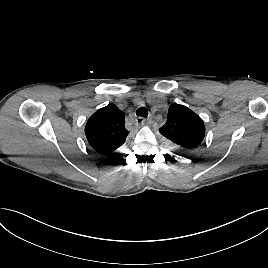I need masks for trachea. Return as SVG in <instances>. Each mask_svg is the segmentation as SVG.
<instances>
[{"label":"trachea","mask_w":268,"mask_h":268,"mask_svg":"<svg viewBox=\"0 0 268 268\" xmlns=\"http://www.w3.org/2000/svg\"><path fill=\"white\" fill-rule=\"evenodd\" d=\"M136 115L140 117H147L148 116V110L145 107H140L136 111Z\"/></svg>","instance_id":"3493384b"}]
</instances>
